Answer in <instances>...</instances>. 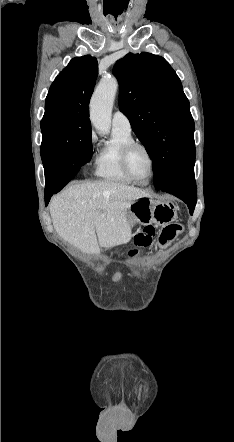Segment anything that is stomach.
Returning a JSON list of instances; mask_svg holds the SVG:
<instances>
[{
  "mask_svg": "<svg viewBox=\"0 0 234 442\" xmlns=\"http://www.w3.org/2000/svg\"><path fill=\"white\" fill-rule=\"evenodd\" d=\"M176 219L177 211L172 200H156L151 197L134 201L127 214V223L131 228L136 224L166 225Z\"/></svg>",
  "mask_w": 234,
  "mask_h": 442,
  "instance_id": "stomach-1",
  "label": "stomach"
}]
</instances>
